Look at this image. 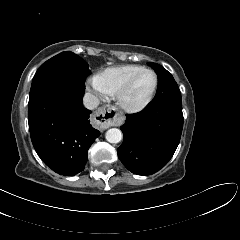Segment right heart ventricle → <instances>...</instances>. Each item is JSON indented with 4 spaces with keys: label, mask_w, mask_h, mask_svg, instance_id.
<instances>
[{
    "label": "right heart ventricle",
    "mask_w": 240,
    "mask_h": 240,
    "mask_svg": "<svg viewBox=\"0 0 240 240\" xmlns=\"http://www.w3.org/2000/svg\"><path fill=\"white\" fill-rule=\"evenodd\" d=\"M142 69L140 65L110 67L99 73L96 78L104 93L113 95L130 77Z\"/></svg>",
    "instance_id": "1"
}]
</instances>
